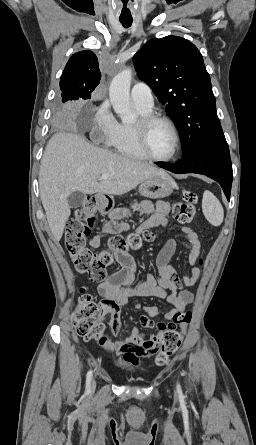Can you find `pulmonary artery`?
I'll return each instance as SVG.
<instances>
[{"label":"pulmonary artery","instance_id":"obj_1","mask_svg":"<svg viewBox=\"0 0 256 445\" xmlns=\"http://www.w3.org/2000/svg\"><path fill=\"white\" fill-rule=\"evenodd\" d=\"M131 100L134 106L146 111H150L154 104L151 89L145 83H137L132 87Z\"/></svg>","mask_w":256,"mask_h":445}]
</instances>
